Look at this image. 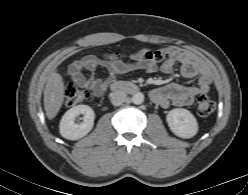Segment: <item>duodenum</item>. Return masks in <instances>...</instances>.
<instances>
[{"label": "duodenum", "mask_w": 248, "mask_h": 195, "mask_svg": "<svg viewBox=\"0 0 248 195\" xmlns=\"http://www.w3.org/2000/svg\"><path fill=\"white\" fill-rule=\"evenodd\" d=\"M119 90H124L130 93H137L138 92V87L136 85H134L133 83L130 82H114L111 87H110V91L111 92H116Z\"/></svg>", "instance_id": "obj_1"}]
</instances>
